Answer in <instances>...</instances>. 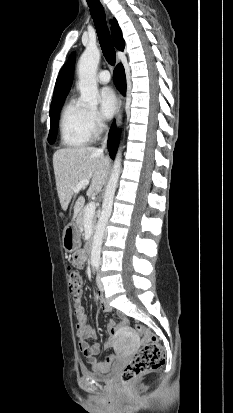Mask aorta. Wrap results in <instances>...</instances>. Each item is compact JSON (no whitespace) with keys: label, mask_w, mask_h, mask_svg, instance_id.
<instances>
[{"label":"aorta","mask_w":233,"mask_h":413,"mask_svg":"<svg viewBox=\"0 0 233 413\" xmlns=\"http://www.w3.org/2000/svg\"><path fill=\"white\" fill-rule=\"evenodd\" d=\"M100 57L101 53L98 48L89 47L83 52L78 62V88L81 93V100L90 107H96L99 101L96 71ZM121 158L122 154L119 148L108 184L106 186L102 211L96 226L94 240L92 243L91 264L94 267L99 266L100 263L103 236L112 212L114 195L121 172Z\"/></svg>","instance_id":"obj_1"}]
</instances>
